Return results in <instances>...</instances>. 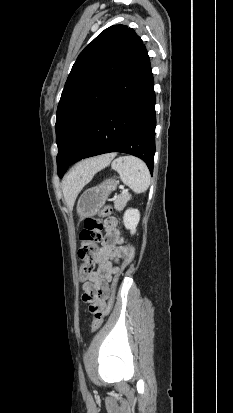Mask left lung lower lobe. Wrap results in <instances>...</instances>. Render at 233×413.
I'll return each mask as SVG.
<instances>
[{
    "label": "left lung lower lobe",
    "instance_id": "1",
    "mask_svg": "<svg viewBox=\"0 0 233 413\" xmlns=\"http://www.w3.org/2000/svg\"><path fill=\"white\" fill-rule=\"evenodd\" d=\"M155 93L147 50L142 45L128 71L92 120L76 154L63 168L109 152L142 159L153 173L155 153Z\"/></svg>",
    "mask_w": 233,
    "mask_h": 413
}]
</instances>
